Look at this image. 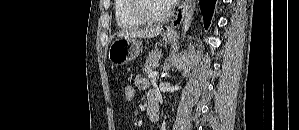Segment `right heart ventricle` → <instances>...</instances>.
<instances>
[{
  "label": "right heart ventricle",
  "mask_w": 299,
  "mask_h": 130,
  "mask_svg": "<svg viewBox=\"0 0 299 130\" xmlns=\"http://www.w3.org/2000/svg\"><path fill=\"white\" fill-rule=\"evenodd\" d=\"M114 15L116 23L121 29H133L141 27L146 23L134 15L132 0H115Z\"/></svg>",
  "instance_id": "e07e8e85"
}]
</instances>
